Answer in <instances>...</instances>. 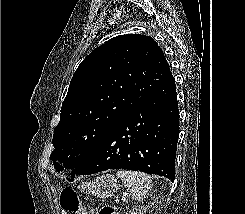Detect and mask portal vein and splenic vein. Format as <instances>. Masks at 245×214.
<instances>
[{
	"mask_svg": "<svg viewBox=\"0 0 245 214\" xmlns=\"http://www.w3.org/2000/svg\"><path fill=\"white\" fill-rule=\"evenodd\" d=\"M127 198H128V195H127V193H125V194L123 195V197L121 198V200H122V201H126Z\"/></svg>",
	"mask_w": 245,
	"mask_h": 214,
	"instance_id": "18ae733b",
	"label": "portal vein and splenic vein"
}]
</instances>
